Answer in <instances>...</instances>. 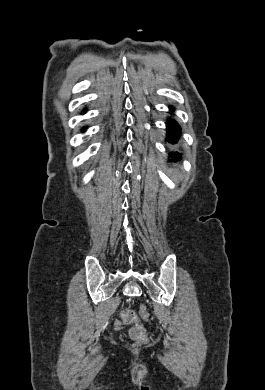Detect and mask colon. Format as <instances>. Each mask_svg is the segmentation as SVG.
Returning <instances> with one entry per match:
<instances>
[{
	"label": "colon",
	"mask_w": 265,
	"mask_h": 390,
	"mask_svg": "<svg viewBox=\"0 0 265 390\" xmlns=\"http://www.w3.org/2000/svg\"><path fill=\"white\" fill-rule=\"evenodd\" d=\"M140 315L146 321H150L151 319L150 313L146 309H140ZM119 318L124 324H133L130 329V336L134 341L142 343L147 340L146 329L139 323L135 312L131 310L121 311Z\"/></svg>",
	"instance_id": "colon-1"
}]
</instances>
